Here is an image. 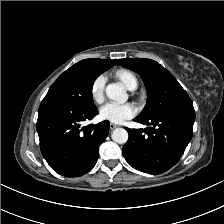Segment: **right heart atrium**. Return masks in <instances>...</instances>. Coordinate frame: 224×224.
<instances>
[{"instance_id":"right-heart-atrium-1","label":"right heart atrium","mask_w":224,"mask_h":224,"mask_svg":"<svg viewBox=\"0 0 224 224\" xmlns=\"http://www.w3.org/2000/svg\"><path fill=\"white\" fill-rule=\"evenodd\" d=\"M106 84V76L104 74L98 75L92 82L90 93L93 101L97 104L104 100V89Z\"/></svg>"}]
</instances>
